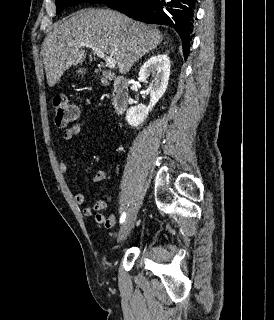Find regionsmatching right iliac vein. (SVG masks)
Wrapping results in <instances>:
<instances>
[{"label": "right iliac vein", "mask_w": 274, "mask_h": 320, "mask_svg": "<svg viewBox=\"0 0 274 320\" xmlns=\"http://www.w3.org/2000/svg\"><path fill=\"white\" fill-rule=\"evenodd\" d=\"M137 213L135 210H131L128 214L124 224L122 225L119 235H118V243L123 242L126 237L129 235L130 231L132 230L135 220H136Z\"/></svg>", "instance_id": "right-iliac-vein-1"}]
</instances>
